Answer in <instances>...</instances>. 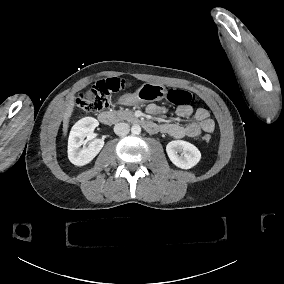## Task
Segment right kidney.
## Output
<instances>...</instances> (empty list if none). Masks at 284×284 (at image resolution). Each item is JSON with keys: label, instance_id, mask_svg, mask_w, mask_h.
<instances>
[{"label": "right kidney", "instance_id": "right-kidney-1", "mask_svg": "<svg viewBox=\"0 0 284 284\" xmlns=\"http://www.w3.org/2000/svg\"><path fill=\"white\" fill-rule=\"evenodd\" d=\"M97 126L98 121L94 118H83L73 126L68 142V157L75 166L89 164L104 147V140L96 139L87 148L81 149L84 138H89Z\"/></svg>", "mask_w": 284, "mask_h": 284}]
</instances>
